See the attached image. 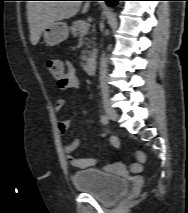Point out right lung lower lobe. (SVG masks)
<instances>
[{
  "mask_svg": "<svg viewBox=\"0 0 188 213\" xmlns=\"http://www.w3.org/2000/svg\"><path fill=\"white\" fill-rule=\"evenodd\" d=\"M103 1H105L108 6H114L116 2L120 0H103Z\"/></svg>",
  "mask_w": 188,
  "mask_h": 213,
  "instance_id": "1",
  "label": "right lung lower lobe"
}]
</instances>
